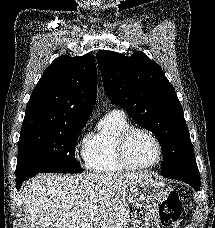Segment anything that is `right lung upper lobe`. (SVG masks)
<instances>
[{"instance_id": "right-lung-upper-lobe-1", "label": "right lung upper lobe", "mask_w": 215, "mask_h": 228, "mask_svg": "<svg viewBox=\"0 0 215 228\" xmlns=\"http://www.w3.org/2000/svg\"><path fill=\"white\" fill-rule=\"evenodd\" d=\"M96 92V64L92 54L62 55L54 59L32 91L21 130L87 122Z\"/></svg>"}]
</instances>
